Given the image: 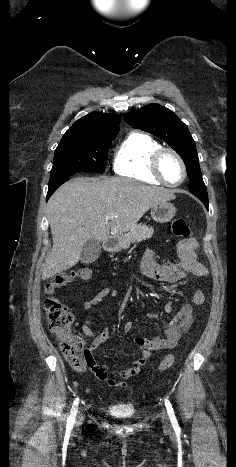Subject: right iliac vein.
<instances>
[{
  "label": "right iliac vein",
  "instance_id": "63e3f726",
  "mask_svg": "<svg viewBox=\"0 0 236 467\" xmlns=\"http://www.w3.org/2000/svg\"><path fill=\"white\" fill-rule=\"evenodd\" d=\"M81 422H82V416L78 414L76 418V424H80Z\"/></svg>",
  "mask_w": 236,
  "mask_h": 467
}]
</instances>
